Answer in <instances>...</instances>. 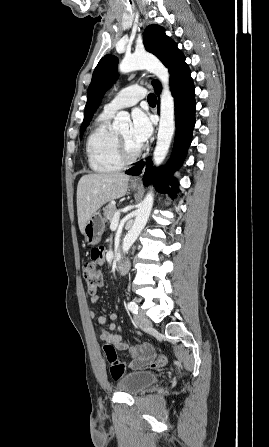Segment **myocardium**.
I'll use <instances>...</instances> for the list:
<instances>
[{"label":"myocardium","instance_id":"f54148a6","mask_svg":"<svg viewBox=\"0 0 269 447\" xmlns=\"http://www.w3.org/2000/svg\"><path fill=\"white\" fill-rule=\"evenodd\" d=\"M115 145L118 159L122 164H130L134 162L143 151L142 147L135 152L131 151L117 133H115Z\"/></svg>","mask_w":269,"mask_h":447}]
</instances>
